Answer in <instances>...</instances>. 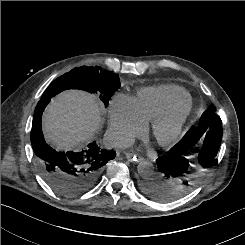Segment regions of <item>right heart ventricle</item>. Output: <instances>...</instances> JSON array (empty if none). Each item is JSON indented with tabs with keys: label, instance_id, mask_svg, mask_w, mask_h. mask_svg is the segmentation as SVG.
Segmentation results:
<instances>
[{
	"label": "right heart ventricle",
	"instance_id": "right-heart-ventricle-1",
	"mask_svg": "<svg viewBox=\"0 0 245 245\" xmlns=\"http://www.w3.org/2000/svg\"><path fill=\"white\" fill-rule=\"evenodd\" d=\"M134 100L139 115L147 123L190 101V95L179 86L159 85L140 89Z\"/></svg>",
	"mask_w": 245,
	"mask_h": 245
}]
</instances>
